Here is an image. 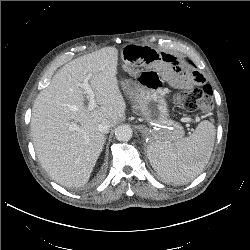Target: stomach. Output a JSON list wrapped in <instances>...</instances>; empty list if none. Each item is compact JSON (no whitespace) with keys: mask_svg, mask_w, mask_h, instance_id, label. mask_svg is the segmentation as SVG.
<instances>
[{"mask_svg":"<svg viewBox=\"0 0 250 250\" xmlns=\"http://www.w3.org/2000/svg\"><path fill=\"white\" fill-rule=\"evenodd\" d=\"M157 51L148 45L127 44L121 50L124 67L136 80H129L125 89L135 111L147 120L163 126L152 136V141L170 142L183 136L179 123L169 119L162 80L149 70L157 61Z\"/></svg>","mask_w":250,"mask_h":250,"instance_id":"0dacf381","label":"stomach"}]
</instances>
